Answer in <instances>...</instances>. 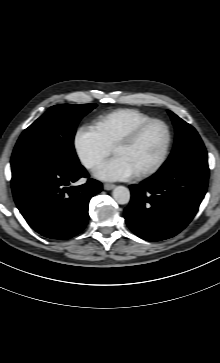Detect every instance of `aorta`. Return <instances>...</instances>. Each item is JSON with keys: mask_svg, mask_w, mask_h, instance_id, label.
<instances>
[{"mask_svg": "<svg viewBox=\"0 0 220 363\" xmlns=\"http://www.w3.org/2000/svg\"><path fill=\"white\" fill-rule=\"evenodd\" d=\"M114 200L121 205L127 204L130 201V191L124 186H117L112 192Z\"/></svg>", "mask_w": 220, "mask_h": 363, "instance_id": "762f6f07", "label": "aorta"}]
</instances>
